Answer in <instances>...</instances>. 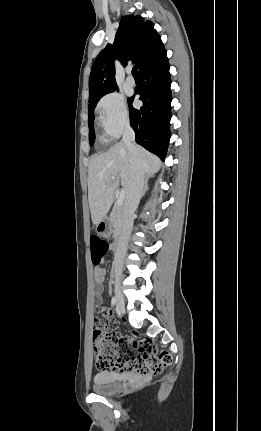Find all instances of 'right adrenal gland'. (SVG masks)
Here are the masks:
<instances>
[{
	"mask_svg": "<svg viewBox=\"0 0 261 431\" xmlns=\"http://www.w3.org/2000/svg\"><path fill=\"white\" fill-rule=\"evenodd\" d=\"M151 177H152L151 175H147V176H146V178H145V184H144L143 195H144V194L146 193V191L149 189L148 182H149V179H150Z\"/></svg>",
	"mask_w": 261,
	"mask_h": 431,
	"instance_id": "1",
	"label": "right adrenal gland"
}]
</instances>
